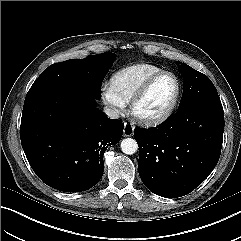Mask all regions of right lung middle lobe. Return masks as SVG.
Wrapping results in <instances>:
<instances>
[{
  "mask_svg": "<svg viewBox=\"0 0 241 241\" xmlns=\"http://www.w3.org/2000/svg\"><path fill=\"white\" fill-rule=\"evenodd\" d=\"M116 54L106 52L88 56L85 59H70L47 67L31 88L50 82H70L77 84L94 98H101V84L113 65Z\"/></svg>",
  "mask_w": 241,
  "mask_h": 241,
  "instance_id": "obj_1",
  "label": "right lung middle lobe"
}]
</instances>
